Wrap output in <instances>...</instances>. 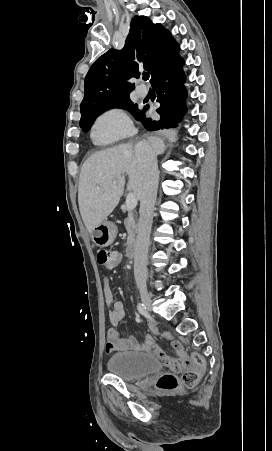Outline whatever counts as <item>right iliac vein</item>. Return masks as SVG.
<instances>
[{"instance_id":"63e3f726","label":"right iliac vein","mask_w":272,"mask_h":451,"mask_svg":"<svg viewBox=\"0 0 272 451\" xmlns=\"http://www.w3.org/2000/svg\"><path fill=\"white\" fill-rule=\"evenodd\" d=\"M140 297H141V300H142L144 306L147 308V310H151L152 300H151V297H150L148 291L145 288H142L140 290Z\"/></svg>"}]
</instances>
